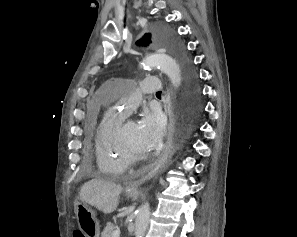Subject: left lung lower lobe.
Returning <instances> with one entry per match:
<instances>
[{"mask_svg": "<svg viewBox=\"0 0 297 237\" xmlns=\"http://www.w3.org/2000/svg\"><path fill=\"white\" fill-rule=\"evenodd\" d=\"M197 112V104L193 101L192 98L186 96L181 108V114L183 115L184 121L189 124Z\"/></svg>", "mask_w": 297, "mask_h": 237, "instance_id": "left-lung-lower-lobe-1", "label": "left lung lower lobe"}]
</instances>
